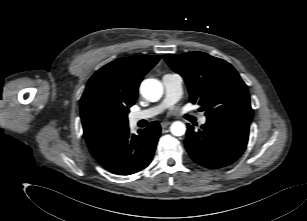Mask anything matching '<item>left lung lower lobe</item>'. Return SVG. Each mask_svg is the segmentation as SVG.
Segmentation results:
<instances>
[{"label": "left lung lower lobe", "mask_w": 307, "mask_h": 221, "mask_svg": "<svg viewBox=\"0 0 307 221\" xmlns=\"http://www.w3.org/2000/svg\"><path fill=\"white\" fill-rule=\"evenodd\" d=\"M250 123L229 118L207 119L201 129L187 125L185 147L199 165L218 169L236 161L244 152Z\"/></svg>", "instance_id": "left-lung-lower-lobe-1"}]
</instances>
